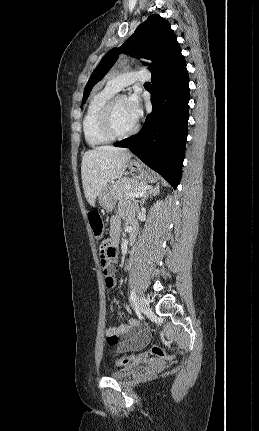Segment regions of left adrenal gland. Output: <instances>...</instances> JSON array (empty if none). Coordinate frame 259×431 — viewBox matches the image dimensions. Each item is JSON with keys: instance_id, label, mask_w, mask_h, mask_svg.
Masks as SVG:
<instances>
[{"instance_id": "left-adrenal-gland-1", "label": "left adrenal gland", "mask_w": 259, "mask_h": 431, "mask_svg": "<svg viewBox=\"0 0 259 431\" xmlns=\"http://www.w3.org/2000/svg\"><path fill=\"white\" fill-rule=\"evenodd\" d=\"M159 192H160V186L159 185H156L154 187H150L139 202L141 204H144L146 199L148 198V196L159 194Z\"/></svg>"}]
</instances>
